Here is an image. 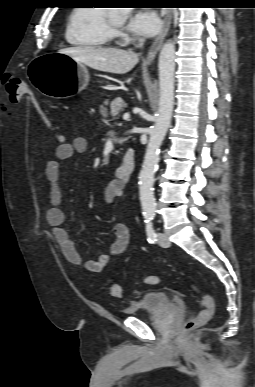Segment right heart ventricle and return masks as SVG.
<instances>
[{"mask_svg":"<svg viewBox=\"0 0 255 387\" xmlns=\"http://www.w3.org/2000/svg\"><path fill=\"white\" fill-rule=\"evenodd\" d=\"M107 10L102 7L74 8L68 16L65 38L71 45L98 48L110 44L113 36L106 24Z\"/></svg>","mask_w":255,"mask_h":387,"instance_id":"obj_1","label":"right heart ventricle"}]
</instances>
